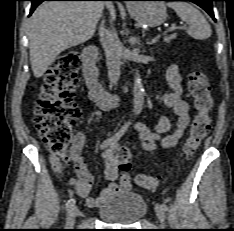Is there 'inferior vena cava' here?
Instances as JSON below:
<instances>
[{
	"label": "inferior vena cava",
	"instance_id": "602c4592",
	"mask_svg": "<svg viewBox=\"0 0 234 231\" xmlns=\"http://www.w3.org/2000/svg\"><path fill=\"white\" fill-rule=\"evenodd\" d=\"M106 6L110 8L112 3L106 2ZM103 23L100 26L99 33L106 54L110 86L113 87L117 85L120 77L121 43L115 30H106Z\"/></svg>",
	"mask_w": 234,
	"mask_h": 231
}]
</instances>
